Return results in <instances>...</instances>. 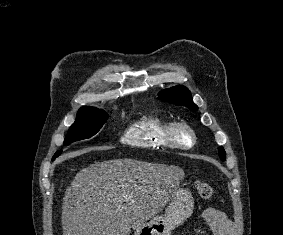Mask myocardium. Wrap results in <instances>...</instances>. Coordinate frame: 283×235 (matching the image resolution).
<instances>
[{
	"label": "myocardium",
	"instance_id": "1",
	"mask_svg": "<svg viewBox=\"0 0 283 235\" xmlns=\"http://www.w3.org/2000/svg\"><path fill=\"white\" fill-rule=\"evenodd\" d=\"M185 136L189 138L188 142L183 140ZM168 137L171 145L176 148L188 149L196 143L195 131L189 124L182 121L171 123L168 129Z\"/></svg>",
	"mask_w": 283,
	"mask_h": 235
}]
</instances>
